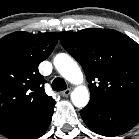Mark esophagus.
Instances as JSON below:
<instances>
[{
    "instance_id": "34e87169",
    "label": "esophagus",
    "mask_w": 139,
    "mask_h": 139,
    "mask_svg": "<svg viewBox=\"0 0 139 139\" xmlns=\"http://www.w3.org/2000/svg\"><path fill=\"white\" fill-rule=\"evenodd\" d=\"M70 93H71V89H66V90L61 92V95L63 97H68L70 95Z\"/></svg>"
}]
</instances>
